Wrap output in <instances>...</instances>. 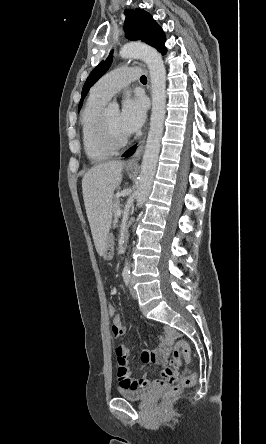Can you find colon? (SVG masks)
I'll return each mask as SVG.
<instances>
[{
  "mask_svg": "<svg viewBox=\"0 0 266 444\" xmlns=\"http://www.w3.org/2000/svg\"><path fill=\"white\" fill-rule=\"evenodd\" d=\"M107 314L111 319H113L115 316L118 315V312L112 303L107 304ZM182 359H184L186 362L191 361V349L186 341L179 340L176 343L175 348L173 350L172 363L176 366H179ZM196 379H197L196 373L194 372L189 373L188 375L183 377L178 384L170 387L165 392L164 397L170 398L178 394L183 388L193 386L196 382Z\"/></svg>",
  "mask_w": 266,
  "mask_h": 444,
  "instance_id": "colon-1",
  "label": "colon"
}]
</instances>
